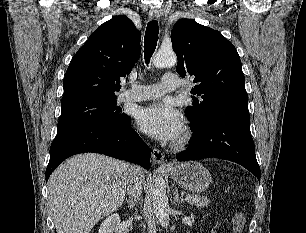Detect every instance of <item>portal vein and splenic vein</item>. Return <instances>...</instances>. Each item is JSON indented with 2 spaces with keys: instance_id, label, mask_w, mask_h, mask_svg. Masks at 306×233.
Masks as SVG:
<instances>
[{
  "instance_id": "obj_1",
  "label": "portal vein and splenic vein",
  "mask_w": 306,
  "mask_h": 233,
  "mask_svg": "<svg viewBox=\"0 0 306 233\" xmlns=\"http://www.w3.org/2000/svg\"><path fill=\"white\" fill-rule=\"evenodd\" d=\"M185 200H186V201H190V200H191V197H190V196H187V197L185 198Z\"/></svg>"
}]
</instances>
